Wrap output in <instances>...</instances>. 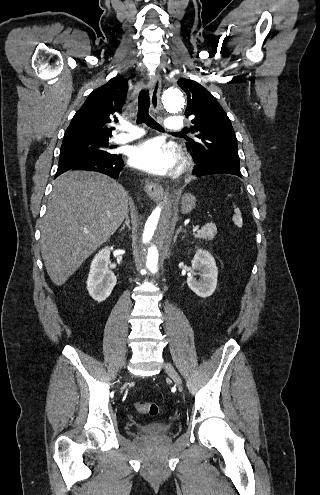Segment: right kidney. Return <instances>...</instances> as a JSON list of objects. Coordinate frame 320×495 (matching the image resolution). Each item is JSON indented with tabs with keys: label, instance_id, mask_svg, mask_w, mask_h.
Returning a JSON list of instances; mask_svg holds the SVG:
<instances>
[{
	"label": "right kidney",
	"instance_id": "1",
	"mask_svg": "<svg viewBox=\"0 0 320 495\" xmlns=\"http://www.w3.org/2000/svg\"><path fill=\"white\" fill-rule=\"evenodd\" d=\"M110 248L101 249L92 260L87 280V290L97 302L105 301L116 285V276L109 270Z\"/></svg>",
	"mask_w": 320,
	"mask_h": 495
}]
</instances>
